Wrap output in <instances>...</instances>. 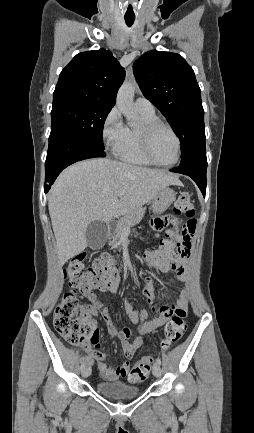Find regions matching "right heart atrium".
<instances>
[{
	"instance_id": "right-heart-atrium-1",
	"label": "right heart atrium",
	"mask_w": 254,
	"mask_h": 433,
	"mask_svg": "<svg viewBox=\"0 0 254 433\" xmlns=\"http://www.w3.org/2000/svg\"><path fill=\"white\" fill-rule=\"evenodd\" d=\"M125 132V125L119 109L113 107L105 116L102 123V139L106 148L116 152Z\"/></svg>"
}]
</instances>
